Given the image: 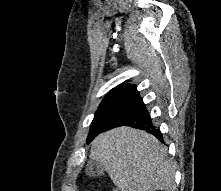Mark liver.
Instances as JSON below:
<instances>
[{
	"mask_svg": "<svg viewBox=\"0 0 221 191\" xmlns=\"http://www.w3.org/2000/svg\"><path fill=\"white\" fill-rule=\"evenodd\" d=\"M90 159L101 163L121 191H173L167 148L151 134L123 126L97 136Z\"/></svg>",
	"mask_w": 221,
	"mask_h": 191,
	"instance_id": "obj_1",
	"label": "liver"
}]
</instances>
